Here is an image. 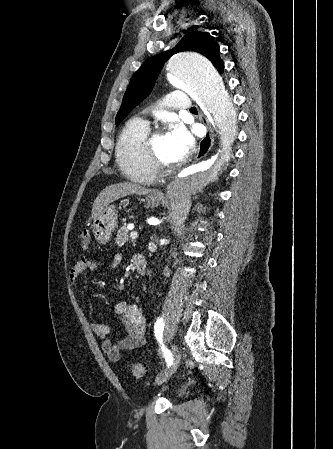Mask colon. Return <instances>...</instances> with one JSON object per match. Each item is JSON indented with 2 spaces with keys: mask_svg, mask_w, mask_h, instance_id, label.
Masks as SVG:
<instances>
[{
  "mask_svg": "<svg viewBox=\"0 0 333 449\" xmlns=\"http://www.w3.org/2000/svg\"><path fill=\"white\" fill-rule=\"evenodd\" d=\"M78 241L80 244V247L82 249H87L90 245V234L88 230H83L78 235ZM132 373L135 377H142L144 375V367L140 363H135L132 366Z\"/></svg>",
  "mask_w": 333,
  "mask_h": 449,
  "instance_id": "5ec220e1",
  "label": "colon"
}]
</instances>
